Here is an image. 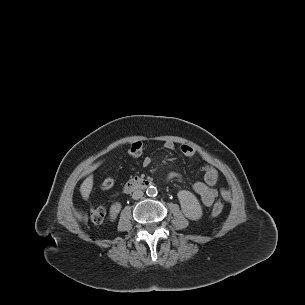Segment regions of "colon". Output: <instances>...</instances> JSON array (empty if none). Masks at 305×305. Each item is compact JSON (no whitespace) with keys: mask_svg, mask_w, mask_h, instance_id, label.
<instances>
[{"mask_svg":"<svg viewBox=\"0 0 305 305\" xmlns=\"http://www.w3.org/2000/svg\"><path fill=\"white\" fill-rule=\"evenodd\" d=\"M144 150H145V143L142 140H136L129 145L128 153L130 156L134 158H138L142 156ZM114 184H115L114 177L112 175H107L103 179L101 186L103 189H111L114 186ZM222 211H223V203L221 201H217L211 210V216L217 217L218 215L221 214ZM105 214H106V210L102 206H95L90 210V218L96 224H99L104 220Z\"/></svg>","mask_w":305,"mask_h":305,"instance_id":"1","label":"colon"}]
</instances>
